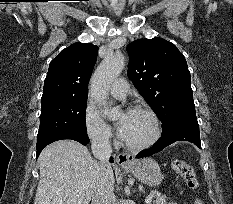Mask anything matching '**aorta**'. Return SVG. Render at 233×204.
<instances>
[{
	"instance_id": "aorta-1",
	"label": "aorta",
	"mask_w": 233,
	"mask_h": 204,
	"mask_svg": "<svg viewBox=\"0 0 233 204\" xmlns=\"http://www.w3.org/2000/svg\"><path fill=\"white\" fill-rule=\"evenodd\" d=\"M125 66V58L122 54L107 55L96 69L91 79V96L103 113L109 119L114 120L119 112L116 108H106L108 90L115 79L120 75Z\"/></svg>"
}]
</instances>
